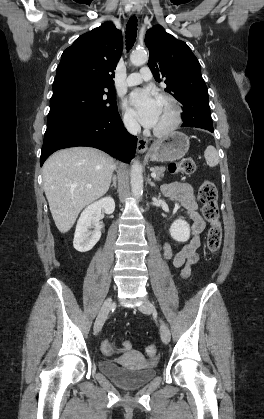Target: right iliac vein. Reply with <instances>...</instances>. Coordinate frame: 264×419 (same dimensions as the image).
Segmentation results:
<instances>
[{
	"instance_id": "1",
	"label": "right iliac vein",
	"mask_w": 264,
	"mask_h": 419,
	"mask_svg": "<svg viewBox=\"0 0 264 419\" xmlns=\"http://www.w3.org/2000/svg\"><path fill=\"white\" fill-rule=\"evenodd\" d=\"M112 306H113L112 298L106 299L102 308H101V310H100V312H99V314H98V316H97V318H96L95 324H94V332L95 333H98L101 330L104 322L107 319V316H108L109 311L111 310Z\"/></svg>"
}]
</instances>
